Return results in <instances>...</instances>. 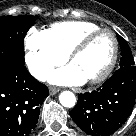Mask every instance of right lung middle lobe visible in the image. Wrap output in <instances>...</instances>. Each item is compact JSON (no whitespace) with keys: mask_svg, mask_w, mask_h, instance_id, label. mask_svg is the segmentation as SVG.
I'll list each match as a JSON object with an SVG mask.
<instances>
[{"mask_svg":"<svg viewBox=\"0 0 136 136\" xmlns=\"http://www.w3.org/2000/svg\"><path fill=\"white\" fill-rule=\"evenodd\" d=\"M35 16H4L0 18V64L24 65L23 39Z\"/></svg>","mask_w":136,"mask_h":136,"instance_id":"dd1d6c3e","label":"right lung middle lobe"}]
</instances>
